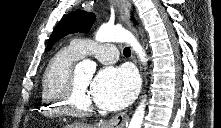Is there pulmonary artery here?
I'll use <instances>...</instances> for the list:
<instances>
[{
  "instance_id": "e3ab8cb5",
  "label": "pulmonary artery",
  "mask_w": 221,
  "mask_h": 128,
  "mask_svg": "<svg viewBox=\"0 0 221 128\" xmlns=\"http://www.w3.org/2000/svg\"><path fill=\"white\" fill-rule=\"evenodd\" d=\"M71 45L75 47L83 57L92 55L101 63H113L119 56L117 47L111 41L97 43L88 38H76L72 40Z\"/></svg>"
}]
</instances>
